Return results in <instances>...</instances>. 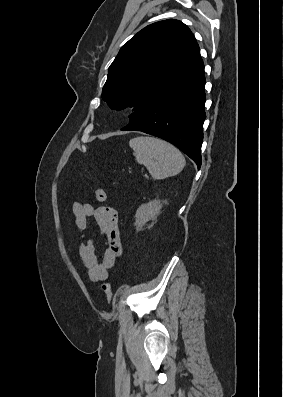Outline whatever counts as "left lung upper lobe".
I'll return each mask as SVG.
<instances>
[{"label":"left lung upper lobe","mask_w":283,"mask_h":397,"mask_svg":"<svg viewBox=\"0 0 283 397\" xmlns=\"http://www.w3.org/2000/svg\"><path fill=\"white\" fill-rule=\"evenodd\" d=\"M204 67L190 29L174 19L146 26L122 46L108 69L102 99L111 109L134 107L130 122Z\"/></svg>","instance_id":"1"}]
</instances>
